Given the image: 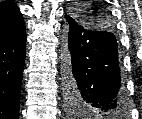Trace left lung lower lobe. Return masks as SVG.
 <instances>
[{
    "mask_svg": "<svg viewBox=\"0 0 142 119\" xmlns=\"http://www.w3.org/2000/svg\"><path fill=\"white\" fill-rule=\"evenodd\" d=\"M63 66L66 101L77 115L104 119L126 115L121 94L118 46L110 31L88 29L69 15Z\"/></svg>",
    "mask_w": 142,
    "mask_h": 119,
    "instance_id": "0a47b994",
    "label": "left lung lower lobe"
}]
</instances>
